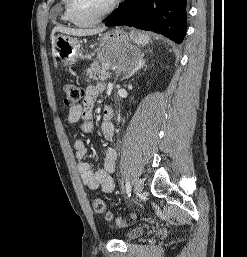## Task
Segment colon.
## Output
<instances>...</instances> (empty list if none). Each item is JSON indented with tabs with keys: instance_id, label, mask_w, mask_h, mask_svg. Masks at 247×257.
Here are the masks:
<instances>
[{
	"instance_id": "5ec220e1",
	"label": "colon",
	"mask_w": 247,
	"mask_h": 257,
	"mask_svg": "<svg viewBox=\"0 0 247 257\" xmlns=\"http://www.w3.org/2000/svg\"><path fill=\"white\" fill-rule=\"evenodd\" d=\"M63 103L66 107H74L80 101L83 93L82 90L71 82H65L62 85ZM92 207L95 213L104 217L108 222H114L119 227L126 226L129 222L122 218H115L113 214L107 210L105 202L96 197L92 201ZM135 216H132V220Z\"/></svg>"
}]
</instances>
